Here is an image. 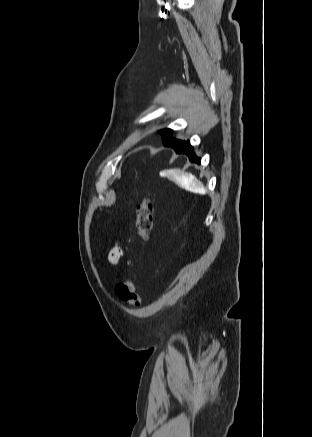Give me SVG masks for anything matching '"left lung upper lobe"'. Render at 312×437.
<instances>
[{
    "label": "left lung upper lobe",
    "instance_id": "obj_1",
    "mask_svg": "<svg viewBox=\"0 0 312 437\" xmlns=\"http://www.w3.org/2000/svg\"><path fill=\"white\" fill-rule=\"evenodd\" d=\"M160 133L162 135L163 143H168V142H172V141L177 140V139L171 137L172 130H170V129H164Z\"/></svg>",
    "mask_w": 312,
    "mask_h": 437
}]
</instances>
